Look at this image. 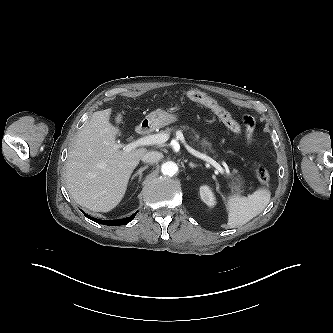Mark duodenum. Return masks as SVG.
<instances>
[{"label":"duodenum","mask_w":333,"mask_h":333,"mask_svg":"<svg viewBox=\"0 0 333 333\" xmlns=\"http://www.w3.org/2000/svg\"><path fill=\"white\" fill-rule=\"evenodd\" d=\"M148 130H149V126L146 123L140 124L137 127V132L141 133V134L146 133Z\"/></svg>","instance_id":"obj_1"}]
</instances>
